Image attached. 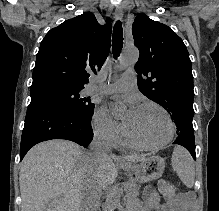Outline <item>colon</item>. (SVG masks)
I'll list each match as a JSON object with an SVG mask.
<instances>
[{
  "mask_svg": "<svg viewBox=\"0 0 219 211\" xmlns=\"http://www.w3.org/2000/svg\"><path fill=\"white\" fill-rule=\"evenodd\" d=\"M159 187L167 203H173L176 199V196L175 188L172 183L166 180H162L159 183Z\"/></svg>",
  "mask_w": 219,
  "mask_h": 211,
  "instance_id": "obj_1",
  "label": "colon"
}]
</instances>
